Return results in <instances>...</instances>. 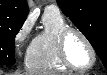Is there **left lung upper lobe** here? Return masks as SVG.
Listing matches in <instances>:
<instances>
[{
	"label": "left lung upper lobe",
	"mask_w": 107,
	"mask_h": 75,
	"mask_svg": "<svg viewBox=\"0 0 107 75\" xmlns=\"http://www.w3.org/2000/svg\"><path fill=\"white\" fill-rule=\"evenodd\" d=\"M57 3L89 40L107 69V0H57Z\"/></svg>",
	"instance_id": "obj_1"
}]
</instances>
